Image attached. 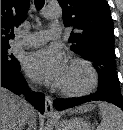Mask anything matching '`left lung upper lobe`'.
Masks as SVG:
<instances>
[{
  "label": "left lung upper lobe",
  "mask_w": 123,
  "mask_h": 130,
  "mask_svg": "<svg viewBox=\"0 0 123 130\" xmlns=\"http://www.w3.org/2000/svg\"><path fill=\"white\" fill-rule=\"evenodd\" d=\"M66 27H73L71 50L93 63L99 75L98 91L121 101L116 75L114 24L106 0H58Z\"/></svg>",
  "instance_id": "obj_1"
}]
</instances>
